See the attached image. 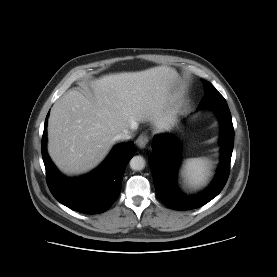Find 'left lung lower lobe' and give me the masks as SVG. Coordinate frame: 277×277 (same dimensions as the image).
I'll use <instances>...</instances> for the list:
<instances>
[{"instance_id":"0a47b994","label":"left lung lower lobe","mask_w":277,"mask_h":277,"mask_svg":"<svg viewBox=\"0 0 277 277\" xmlns=\"http://www.w3.org/2000/svg\"><path fill=\"white\" fill-rule=\"evenodd\" d=\"M216 112L221 123V162L212 184L196 196L183 195L176 185L180 165L179 146L172 134L156 135L153 138V152L149 156L155 189L158 198L169 208L191 210L201 207L216 197L226 184L234 146V128L227 102H215L205 106Z\"/></svg>"}]
</instances>
